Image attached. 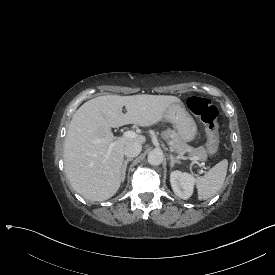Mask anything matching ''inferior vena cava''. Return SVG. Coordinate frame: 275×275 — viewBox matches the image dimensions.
<instances>
[{
  "instance_id": "602c4592",
  "label": "inferior vena cava",
  "mask_w": 275,
  "mask_h": 275,
  "mask_svg": "<svg viewBox=\"0 0 275 275\" xmlns=\"http://www.w3.org/2000/svg\"><path fill=\"white\" fill-rule=\"evenodd\" d=\"M142 150V145L137 142L128 143L124 146L123 154L126 157H136Z\"/></svg>"
}]
</instances>
